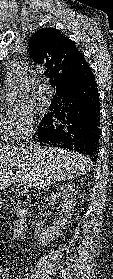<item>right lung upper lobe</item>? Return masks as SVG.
<instances>
[{"instance_id":"cb5924a9","label":"right lung upper lobe","mask_w":113,"mask_h":279,"mask_svg":"<svg viewBox=\"0 0 113 279\" xmlns=\"http://www.w3.org/2000/svg\"><path fill=\"white\" fill-rule=\"evenodd\" d=\"M29 48L33 61L47 66L44 74L54 79L56 93L77 82L89 69L75 43L57 29L45 28L35 32Z\"/></svg>"}]
</instances>
